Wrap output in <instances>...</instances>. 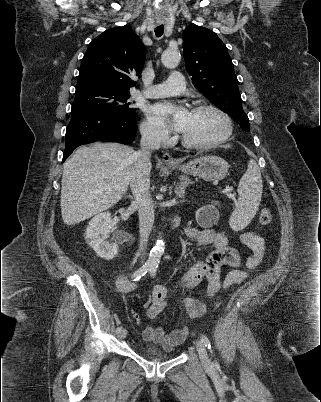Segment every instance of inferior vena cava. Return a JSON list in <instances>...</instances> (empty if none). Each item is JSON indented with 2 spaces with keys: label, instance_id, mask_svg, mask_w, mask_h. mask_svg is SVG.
<instances>
[{
  "label": "inferior vena cava",
  "instance_id": "obj_1",
  "mask_svg": "<svg viewBox=\"0 0 321 402\" xmlns=\"http://www.w3.org/2000/svg\"><path fill=\"white\" fill-rule=\"evenodd\" d=\"M141 149L135 154V164L130 176V188L139 213V246L144 252L154 224V209L150 195V153L160 148L161 135L153 128L141 129Z\"/></svg>",
  "mask_w": 321,
  "mask_h": 402
}]
</instances>
